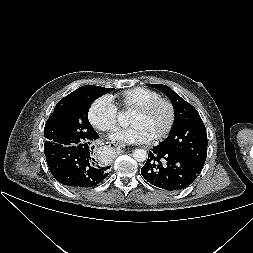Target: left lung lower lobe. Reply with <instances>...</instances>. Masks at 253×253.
I'll use <instances>...</instances> for the list:
<instances>
[{
	"label": "left lung lower lobe",
	"instance_id": "obj_1",
	"mask_svg": "<svg viewBox=\"0 0 253 253\" xmlns=\"http://www.w3.org/2000/svg\"><path fill=\"white\" fill-rule=\"evenodd\" d=\"M202 166L191 160L156 146L148 153L141 168L142 176L152 185L168 191L188 187L200 174Z\"/></svg>",
	"mask_w": 253,
	"mask_h": 253
}]
</instances>
